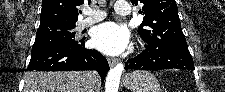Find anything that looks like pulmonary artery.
Returning <instances> with one entry per match:
<instances>
[{"label": "pulmonary artery", "instance_id": "1", "mask_svg": "<svg viewBox=\"0 0 225 92\" xmlns=\"http://www.w3.org/2000/svg\"><path fill=\"white\" fill-rule=\"evenodd\" d=\"M116 10L118 13L123 14V15H129L130 14V9L129 5L127 2L120 1L116 5ZM86 17L82 20L79 21L78 27L80 29L88 27L102 19L105 18L106 13L103 11H93V10H87L85 11Z\"/></svg>", "mask_w": 225, "mask_h": 92}]
</instances>
